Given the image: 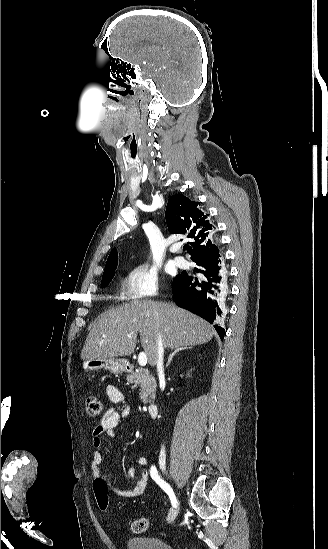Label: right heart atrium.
I'll return each mask as SVG.
<instances>
[{
  "mask_svg": "<svg viewBox=\"0 0 328 549\" xmlns=\"http://www.w3.org/2000/svg\"><path fill=\"white\" fill-rule=\"evenodd\" d=\"M158 291L156 267L142 261L127 267L121 276V294L125 303H154Z\"/></svg>",
  "mask_w": 328,
  "mask_h": 549,
  "instance_id": "1",
  "label": "right heart atrium"
}]
</instances>
